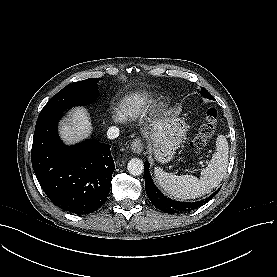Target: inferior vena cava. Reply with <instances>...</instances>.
I'll list each match as a JSON object with an SVG mask.
<instances>
[{
	"mask_svg": "<svg viewBox=\"0 0 277 277\" xmlns=\"http://www.w3.org/2000/svg\"><path fill=\"white\" fill-rule=\"evenodd\" d=\"M118 136H119V128H117L116 126L109 127L107 131V137L109 139H115Z\"/></svg>",
	"mask_w": 277,
	"mask_h": 277,
	"instance_id": "obj_1",
	"label": "inferior vena cava"
}]
</instances>
